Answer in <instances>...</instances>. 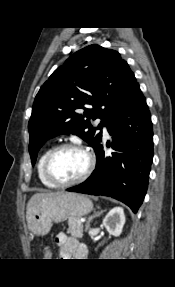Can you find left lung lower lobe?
<instances>
[{
    "mask_svg": "<svg viewBox=\"0 0 175 287\" xmlns=\"http://www.w3.org/2000/svg\"><path fill=\"white\" fill-rule=\"evenodd\" d=\"M107 129L113 136L107 147L114 152H105L100 142L91 176L67 191L112 197L136 213L147 191L153 159L151 115L139 84L130 101L110 119Z\"/></svg>",
    "mask_w": 175,
    "mask_h": 287,
    "instance_id": "0a47b994",
    "label": "left lung lower lobe"
}]
</instances>
